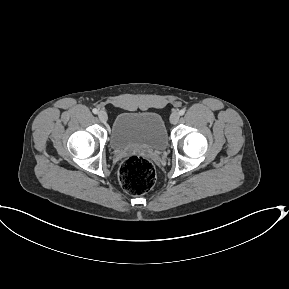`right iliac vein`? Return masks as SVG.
<instances>
[{
    "label": "right iliac vein",
    "mask_w": 289,
    "mask_h": 289,
    "mask_svg": "<svg viewBox=\"0 0 289 289\" xmlns=\"http://www.w3.org/2000/svg\"><path fill=\"white\" fill-rule=\"evenodd\" d=\"M98 118L102 123H105L108 120V115L105 111L101 110L98 112Z\"/></svg>",
    "instance_id": "obj_1"
}]
</instances>
